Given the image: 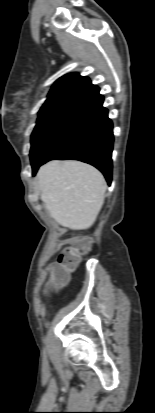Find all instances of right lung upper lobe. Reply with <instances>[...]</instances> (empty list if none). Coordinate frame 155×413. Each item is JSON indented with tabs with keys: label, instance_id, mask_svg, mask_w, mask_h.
Returning a JSON list of instances; mask_svg holds the SVG:
<instances>
[{
	"label": "right lung upper lobe",
	"instance_id": "cb5924a9",
	"mask_svg": "<svg viewBox=\"0 0 155 413\" xmlns=\"http://www.w3.org/2000/svg\"><path fill=\"white\" fill-rule=\"evenodd\" d=\"M97 93L99 88L89 78L78 73L64 75L52 86L47 100L39 110V117L63 107L79 106Z\"/></svg>",
	"mask_w": 155,
	"mask_h": 413
}]
</instances>
